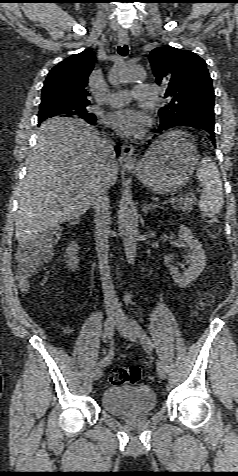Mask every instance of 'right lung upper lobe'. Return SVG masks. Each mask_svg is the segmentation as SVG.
Masks as SVG:
<instances>
[{"label": "right lung upper lobe", "mask_w": 238, "mask_h": 476, "mask_svg": "<svg viewBox=\"0 0 238 476\" xmlns=\"http://www.w3.org/2000/svg\"><path fill=\"white\" fill-rule=\"evenodd\" d=\"M95 52L73 54L52 68L42 88L41 100L73 106L88 105V77L94 68Z\"/></svg>", "instance_id": "cb5924a9"}]
</instances>
